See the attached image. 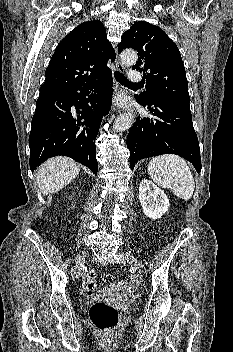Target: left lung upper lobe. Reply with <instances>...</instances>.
<instances>
[{
  "instance_id": "left-lung-upper-lobe-1",
  "label": "left lung upper lobe",
  "mask_w": 233,
  "mask_h": 352,
  "mask_svg": "<svg viewBox=\"0 0 233 352\" xmlns=\"http://www.w3.org/2000/svg\"><path fill=\"white\" fill-rule=\"evenodd\" d=\"M133 48L138 62L132 67L143 72L146 91L135 97L148 102L160 100L190 112V97L184 64L175 43L155 25L140 21L124 32L118 50Z\"/></svg>"
}]
</instances>
